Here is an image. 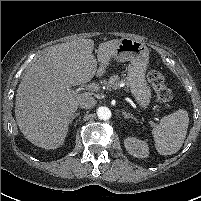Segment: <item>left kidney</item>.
I'll return each instance as SVG.
<instances>
[{"label":"left kidney","mask_w":201,"mask_h":201,"mask_svg":"<svg viewBox=\"0 0 201 201\" xmlns=\"http://www.w3.org/2000/svg\"><path fill=\"white\" fill-rule=\"evenodd\" d=\"M125 148L136 158H146L149 155L148 145L145 141L135 137H128L124 140Z\"/></svg>","instance_id":"obj_1"}]
</instances>
